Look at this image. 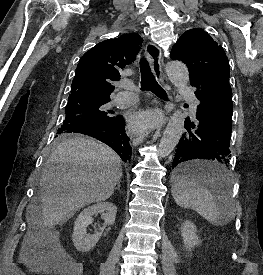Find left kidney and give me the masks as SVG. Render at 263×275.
<instances>
[{
    "mask_svg": "<svg viewBox=\"0 0 263 275\" xmlns=\"http://www.w3.org/2000/svg\"><path fill=\"white\" fill-rule=\"evenodd\" d=\"M196 226L189 220L181 226V236L186 250L191 251L194 246L199 245L200 240L197 236Z\"/></svg>",
    "mask_w": 263,
    "mask_h": 275,
    "instance_id": "1",
    "label": "left kidney"
}]
</instances>
